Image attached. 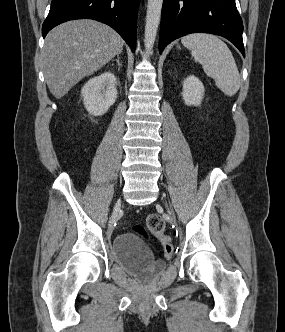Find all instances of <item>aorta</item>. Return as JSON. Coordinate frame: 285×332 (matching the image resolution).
<instances>
[{
    "instance_id": "762f6f07",
    "label": "aorta",
    "mask_w": 285,
    "mask_h": 332,
    "mask_svg": "<svg viewBox=\"0 0 285 332\" xmlns=\"http://www.w3.org/2000/svg\"><path fill=\"white\" fill-rule=\"evenodd\" d=\"M163 0H148L145 24V48L150 52L153 48L161 17Z\"/></svg>"
}]
</instances>
